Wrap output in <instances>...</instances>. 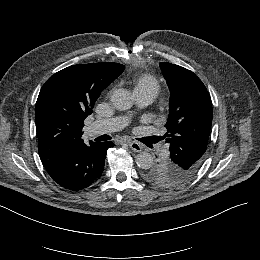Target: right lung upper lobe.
Instances as JSON below:
<instances>
[{"label":"right lung upper lobe","mask_w":260,"mask_h":260,"mask_svg":"<svg viewBox=\"0 0 260 260\" xmlns=\"http://www.w3.org/2000/svg\"><path fill=\"white\" fill-rule=\"evenodd\" d=\"M124 68L113 62L73 65L45 82L36 102L35 122L38 151L46 169L84 143L85 118L101 92Z\"/></svg>","instance_id":"obj_1"}]
</instances>
